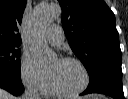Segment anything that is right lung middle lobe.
<instances>
[{
    "mask_svg": "<svg viewBox=\"0 0 128 99\" xmlns=\"http://www.w3.org/2000/svg\"><path fill=\"white\" fill-rule=\"evenodd\" d=\"M20 49L13 45H0V76L21 81Z\"/></svg>",
    "mask_w": 128,
    "mask_h": 99,
    "instance_id": "dd1d6c3e",
    "label": "right lung middle lobe"
}]
</instances>
